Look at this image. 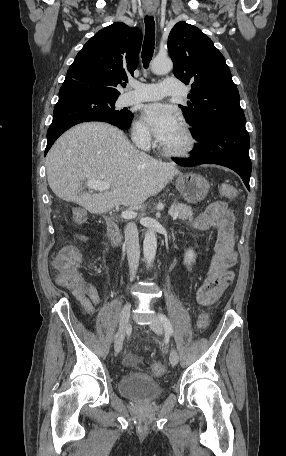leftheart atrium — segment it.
Wrapping results in <instances>:
<instances>
[{
  "mask_svg": "<svg viewBox=\"0 0 286 456\" xmlns=\"http://www.w3.org/2000/svg\"><path fill=\"white\" fill-rule=\"evenodd\" d=\"M142 115L161 144L171 138L180 128L178 114L170 106L161 103L148 104L143 107Z\"/></svg>",
  "mask_w": 286,
  "mask_h": 456,
  "instance_id": "obj_1",
  "label": "left heart atrium"
}]
</instances>
